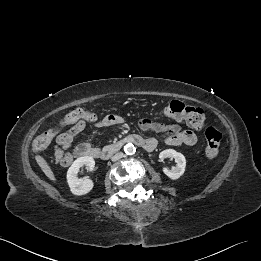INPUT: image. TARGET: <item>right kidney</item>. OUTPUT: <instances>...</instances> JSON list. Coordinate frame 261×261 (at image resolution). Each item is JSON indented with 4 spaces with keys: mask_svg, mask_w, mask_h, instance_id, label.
<instances>
[{
    "mask_svg": "<svg viewBox=\"0 0 261 261\" xmlns=\"http://www.w3.org/2000/svg\"><path fill=\"white\" fill-rule=\"evenodd\" d=\"M86 166L90 171L93 170L95 166V161L90 156L80 157L76 159L67 171V182L70 187V191L74 195H85L89 193L93 187L94 183L89 178H78L79 169Z\"/></svg>",
    "mask_w": 261,
    "mask_h": 261,
    "instance_id": "obj_1",
    "label": "right kidney"
}]
</instances>
